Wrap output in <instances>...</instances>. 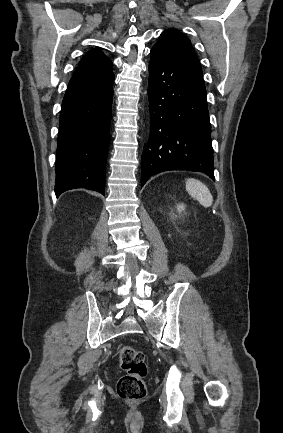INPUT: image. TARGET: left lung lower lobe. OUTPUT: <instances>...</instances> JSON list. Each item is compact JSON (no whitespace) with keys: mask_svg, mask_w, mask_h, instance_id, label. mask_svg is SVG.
I'll use <instances>...</instances> for the list:
<instances>
[{"mask_svg":"<svg viewBox=\"0 0 283 433\" xmlns=\"http://www.w3.org/2000/svg\"><path fill=\"white\" fill-rule=\"evenodd\" d=\"M149 63L150 138L141 158V187L153 175L191 170L214 178L211 125L198 59L152 48Z\"/></svg>","mask_w":283,"mask_h":433,"instance_id":"left-lung-lower-lobe-1","label":"left lung lower lobe"}]
</instances>
